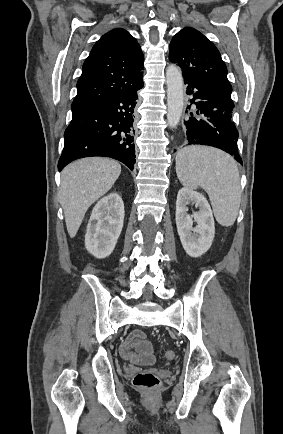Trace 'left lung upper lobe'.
Returning a JSON list of instances; mask_svg holds the SVG:
<instances>
[{
    "instance_id": "1",
    "label": "left lung upper lobe",
    "mask_w": 283,
    "mask_h": 434,
    "mask_svg": "<svg viewBox=\"0 0 283 434\" xmlns=\"http://www.w3.org/2000/svg\"><path fill=\"white\" fill-rule=\"evenodd\" d=\"M169 60L181 67L184 75L195 77L231 94L227 67L216 46L194 28L186 27L174 35Z\"/></svg>"
}]
</instances>
